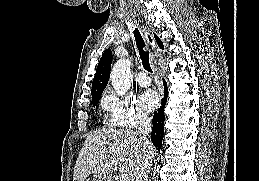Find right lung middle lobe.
<instances>
[{"label":"right lung middle lobe","mask_w":259,"mask_h":181,"mask_svg":"<svg viewBox=\"0 0 259 181\" xmlns=\"http://www.w3.org/2000/svg\"><path fill=\"white\" fill-rule=\"evenodd\" d=\"M100 96L101 95H98V96L92 98V103H93L94 107L97 106V104L99 102V99H100Z\"/></svg>","instance_id":"right-lung-middle-lobe-1"}]
</instances>
